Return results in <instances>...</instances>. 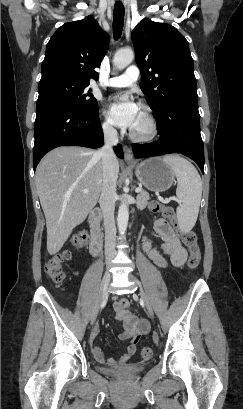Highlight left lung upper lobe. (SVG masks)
<instances>
[{"label": "left lung upper lobe", "mask_w": 243, "mask_h": 409, "mask_svg": "<svg viewBox=\"0 0 243 409\" xmlns=\"http://www.w3.org/2000/svg\"><path fill=\"white\" fill-rule=\"evenodd\" d=\"M140 87L158 118L172 105L197 97L194 63L188 41L172 25L143 19L132 32Z\"/></svg>", "instance_id": "left-lung-upper-lobe-1"}]
</instances>
